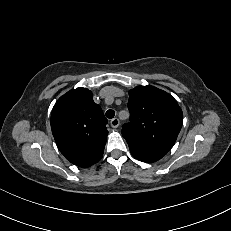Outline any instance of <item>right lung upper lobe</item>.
<instances>
[{
    "instance_id": "cb5924a9",
    "label": "right lung upper lobe",
    "mask_w": 231,
    "mask_h": 231,
    "mask_svg": "<svg viewBox=\"0 0 231 231\" xmlns=\"http://www.w3.org/2000/svg\"><path fill=\"white\" fill-rule=\"evenodd\" d=\"M107 119L86 88L61 96L51 114V128L60 152L72 164L86 168L98 162L107 139Z\"/></svg>"
}]
</instances>
